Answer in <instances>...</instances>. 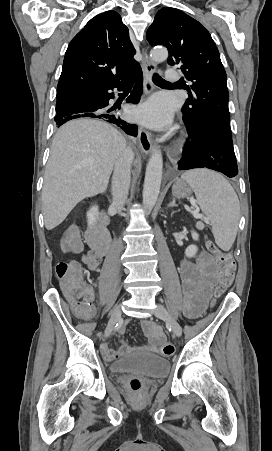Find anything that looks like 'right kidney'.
<instances>
[{"instance_id": "1", "label": "right kidney", "mask_w": 272, "mask_h": 451, "mask_svg": "<svg viewBox=\"0 0 272 451\" xmlns=\"http://www.w3.org/2000/svg\"><path fill=\"white\" fill-rule=\"evenodd\" d=\"M99 214L98 206H92L89 212H87L88 224H94L95 220H97L96 216Z\"/></svg>"}]
</instances>
